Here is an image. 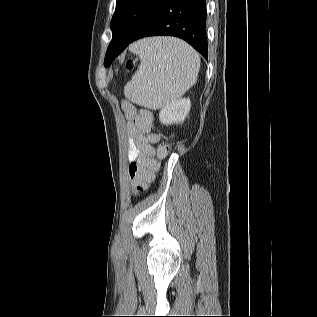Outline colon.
Returning <instances> with one entry per match:
<instances>
[{"mask_svg": "<svg viewBox=\"0 0 317 317\" xmlns=\"http://www.w3.org/2000/svg\"><path fill=\"white\" fill-rule=\"evenodd\" d=\"M134 66L132 60L127 62V69L131 70ZM153 116L148 109L138 110L133 118L135 126L142 132H148L152 124ZM169 151L167 144H161L158 147L157 156L159 159L164 158ZM157 167V161L147 156H140L131 162L128 167L131 187L134 193L142 192L146 189L151 181L153 172Z\"/></svg>", "mask_w": 317, "mask_h": 317, "instance_id": "1", "label": "colon"}]
</instances>
